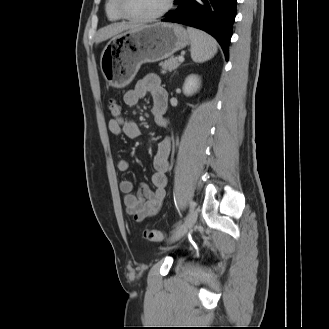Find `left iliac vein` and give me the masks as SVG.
Wrapping results in <instances>:
<instances>
[{"label": "left iliac vein", "mask_w": 329, "mask_h": 329, "mask_svg": "<svg viewBox=\"0 0 329 329\" xmlns=\"http://www.w3.org/2000/svg\"><path fill=\"white\" fill-rule=\"evenodd\" d=\"M197 216L198 210L192 209L188 214L185 222L173 231L170 241L174 242L183 237L194 226L197 220Z\"/></svg>", "instance_id": "left-iliac-vein-1"}]
</instances>
